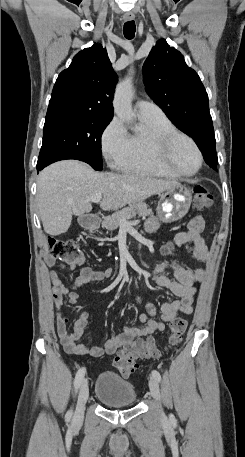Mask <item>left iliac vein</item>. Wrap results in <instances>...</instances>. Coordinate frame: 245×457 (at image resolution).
<instances>
[{"label":"left iliac vein","instance_id":"4c4485c4","mask_svg":"<svg viewBox=\"0 0 245 457\" xmlns=\"http://www.w3.org/2000/svg\"><path fill=\"white\" fill-rule=\"evenodd\" d=\"M150 391L154 400L160 401V390L157 380L152 376L150 378Z\"/></svg>","mask_w":245,"mask_h":457}]
</instances>
